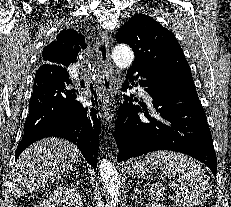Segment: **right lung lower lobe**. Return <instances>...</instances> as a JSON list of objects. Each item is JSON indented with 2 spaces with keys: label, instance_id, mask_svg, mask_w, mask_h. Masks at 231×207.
I'll use <instances>...</instances> for the list:
<instances>
[{
  "label": "right lung lower lobe",
  "instance_id": "right-lung-lower-lobe-1",
  "mask_svg": "<svg viewBox=\"0 0 231 207\" xmlns=\"http://www.w3.org/2000/svg\"><path fill=\"white\" fill-rule=\"evenodd\" d=\"M60 34L84 40L73 29L63 30ZM70 84L66 68L42 65L38 69L16 159L32 143L45 137H60L76 144L86 161L96 168L101 129L97 101L91 107H83L74 100L76 91L68 88Z\"/></svg>",
  "mask_w": 231,
  "mask_h": 207
}]
</instances>
